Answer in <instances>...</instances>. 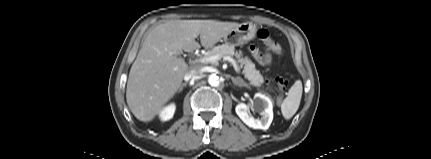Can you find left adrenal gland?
Returning <instances> with one entry per match:
<instances>
[{"mask_svg": "<svg viewBox=\"0 0 431 159\" xmlns=\"http://www.w3.org/2000/svg\"><path fill=\"white\" fill-rule=\"evenodd\" d=\"M231 80L235 86L250 88L241 78L231 77Z\"/></svg>", "mask_w": 431, "mask_h": 159, "instance_id": "left-adrenal-gland-1", "label": "left adrenal gland"}]
</instances>
